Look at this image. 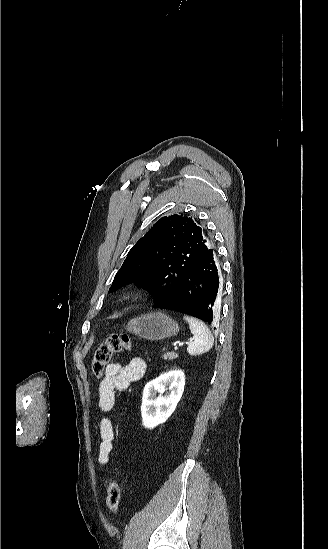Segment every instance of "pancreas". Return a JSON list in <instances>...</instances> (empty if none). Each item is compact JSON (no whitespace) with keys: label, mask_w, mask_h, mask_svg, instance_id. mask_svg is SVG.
Here are the masks:
<instances>
[{"label":"pancreas","mask_w":328,"mask_h":549,"mask_svg":"<svg viewBox=\"0 0 328 549\" xmlns=\"http://www.w3.org/2000/svg\"><path fill=\"white\" fill-rule=\"evenodd\" d=\"M178 355L177 353H164V355H162V359H164V361H173V359H177Z\"/></svg>","instance_id":"obj_1"}]
</instances>
